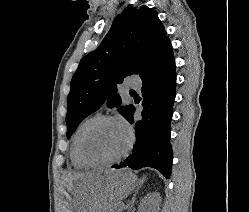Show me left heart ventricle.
I'll return each instance as SVG.
<instances>
[{
    "instance_id": "obj_1",
    "label": "left heart ventricle",
    "mask_w": 249,
    "mask_h": 212,
    "mask_svg": "<svg viewBox=\"0 0 249 212\" xmlns=\"http://www.w3.org/2000/svg\"><path fill=\"white\" fill-rule=\"evenodd\" d=\"M128 136L125 129L114 122H104L88 134L83 144L85 156L95 162L111 160L126 148Z\"/></svg>"
}]
</instances>
